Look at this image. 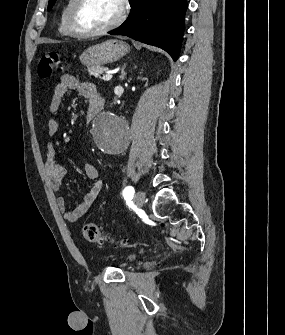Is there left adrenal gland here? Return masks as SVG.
I'll list each match as a JSON object with an SVG mask.
<instances>
[{"mask_svg":"<svg viewBox=\"0 0 285 335\" xmlns=\"http://www.w3.org/2000/svg\"><path fill=\"white\" fill-rule=\"evenodd\" d=\"M126 66H127V64H124V66H122V68H121V76H119L120 80H124V78L126 76V72H125ZM135 68H137V66H135Z\"/></svg>","mask_w":285,"mask_h":335,"instance_id":"1","label":"left adrenal gland"}]
</instances>
